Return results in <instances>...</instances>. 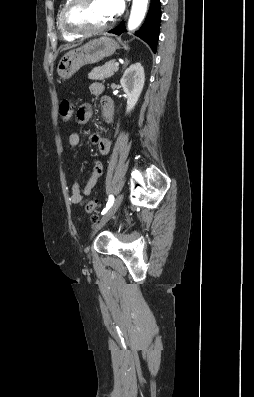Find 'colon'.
Listing matches in <instances>:
<instances>
[{
  "label": "colon",
  "instance_id": "1",
  "mask_svg": "<svg viewBox=\"0 0 254 397\" xmlns=\"http://www.w3.org/2000/svg\"><path fill=\"white\" fill-rule=\"evenodd\" d=\"M59 111L62 120L68 121L73 115L74 105L69 100H63L60 103ZM98 206H99L98 200H90L86 205L87 213L94 217L97 213Z\"/></svg>",
  "mask_w": 254,
  "mask_h": 397
}]
</instances>
